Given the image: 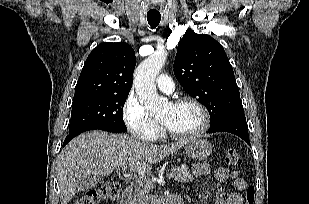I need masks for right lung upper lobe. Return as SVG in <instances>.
Wrapping results in <instances>:
<instances>
[{
	"label": "right lung upper lobe",
	"mask_w": 309,
	"mask_h": 204,
	"mask_svg": "<svg viewBox=\"0 0 309 204\" xmlns=\"http://www.w3.org/2000/svg\"><path fill=\"white\" fill-rule=\"evenodd\" d=\"M135 64L134 50L129 44H99L82 68L73 103L105 95L129 94Z\"/></svg>",
	"instance_id": "obj_1"
}]
</instances>
